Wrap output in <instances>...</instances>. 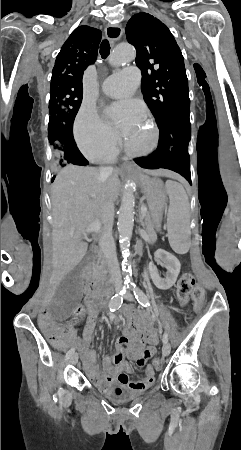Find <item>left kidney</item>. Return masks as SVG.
Masks as SVG:
<instances>
[{"mask_svg":"<svg viewBox=\"0 0 241 450\" xmlns=\"http://www.w3.org/2000/svg\"><path fill=\"white\" fill-rule=\"evenodd\" d=\"M154 258L157 264H161L163 268H166L167 274L165 278H160L156 266H154V264H149L152 282L159 290H169L171 286H174L179 276L181 264L175 256H172L169 252H165V250H157L154 254Z\"/></svg>","mask_w":241,"mask_h":450,"instance_id":"left-kidney-1","label":"left kidney"}]
</instances>
